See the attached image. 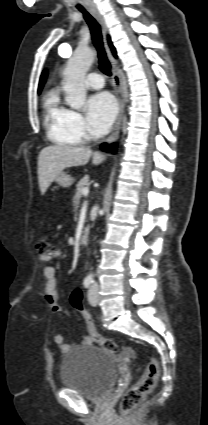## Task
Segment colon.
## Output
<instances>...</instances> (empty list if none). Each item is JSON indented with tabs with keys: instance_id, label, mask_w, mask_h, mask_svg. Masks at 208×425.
I'll return each mask as SVG.
<instances>
[{
	"instance_id": "5ec220e1",
	"label": "colon",
	"mask_w": 208,
	"mask_h": 425,
	"mask_svg": "<svg viewBox=\"0 0 208 425\" xmlns=\"http://www.w3.org/2000/svg\"><path fill=\"white\" fill-rule=\"evenodd\" d=\"M36 249L40 254L49 255L54 252L52 244L45 236L37 241ZM70 304L75 311L82 314L90 332L91 340L107 352L117 354L119 352L118 344L112 339L103 337L96 331L93 320L83 306V294L80 289H74L71 292ZM158 378L159 364L155 358H150L140 380L132 385L123 395L120 402V412L124 416L131 415L143 399L154 390Z\"/></svg>"
}]
</instances>
